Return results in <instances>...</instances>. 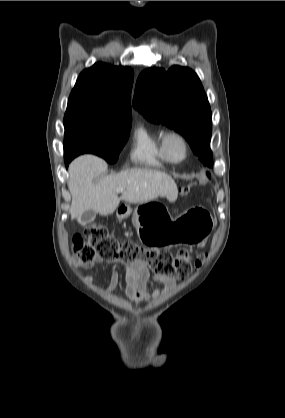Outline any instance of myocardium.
<instances>
[{"label": "myocardium", "mask_w": 285, "mask_h": 418, "mask_svg": "<svg viewBox=\"0 0 285 418\" xmlns=\"http://www.w3.org/2000/svg\"><path fill=\"white\" fill-rule=\"evenodd\" d=\"M172 139H177L183 146V154L180 158H175L172 156L170 149H169V142ZM161 146H162V150L167 158V160L171 163H181L183 162L187 156H188V151H189V144H188V140L185 137L184 134H182L179 131L176 130H171L166 132L162 138H161Z\"/></svg>", "instance_id": "obj_1"}]
</instances>
